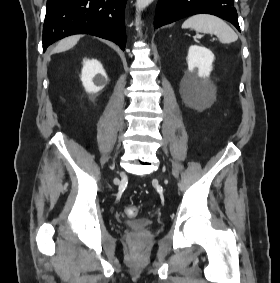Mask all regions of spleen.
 <instances>
[{
	"instance_id": "1",
	"label": "spleen",
	"mask_w": 280,
	"mask_h": 283,
	"mask_svg": "<svg viewBox=\"0 0 280 283\" xmlns=\"http://www.w3.org/2000/svg\"><path fill=\"white\" fill-rule=\"evenodd\" d=\"M182 28H190L197 32L214 34L223 44H229L238 39V35L227 23L222 19L209 14H198L189 17L182 24Z\"/></svg>"
}]
</instances>
